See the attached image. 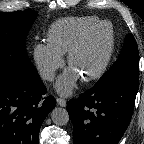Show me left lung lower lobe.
<instances>
[{
	"label": "left lung lower lobe",
	"mask_w": 144,
	"mask_h": 144,
	"mask_svg": "<svg viewBox=\"0 0 144 144\" xmlns=\"http://www.w3.org/2000/svg\"><path fill=\"white\" fill-rule=\"evenodd\" d=\"M139 81L99 85L67 102L74 144H117L133 113Z\"/></svg>",
	"instance_id": "obj_1"
}]
</instances>
